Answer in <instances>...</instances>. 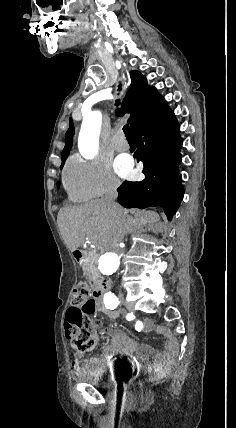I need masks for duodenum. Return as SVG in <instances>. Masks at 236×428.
I'll list each match as a JSON object with an SVG mask.
<instances>
[{"mask_svg": "<svg viewBox=\"0 0 236 428\" xmlns=\"http://www.w3.org/2000/svg\"><path fill=\"white\" fill-rule=\"evenodd\" d=\"M73 257L78 264H82L85 258V253L82 249L73 250ZM111 284L108 280L102 281L92 290V296L96 301L104 300L105 295L110 292Z\"/></svg>", "mask_w": 236, "mask_h": 428, "instance_id": "obj_1", "label": "duodenum"}]
</instances>
